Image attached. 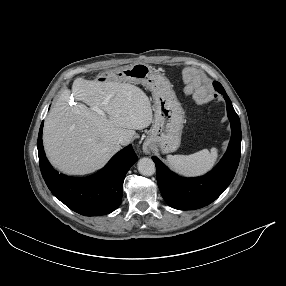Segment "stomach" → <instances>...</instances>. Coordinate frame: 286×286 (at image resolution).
<instances>
[{"label": "stomach", "mask_w": 286, "mask_h": 286, "mask_svg": "<svg viewBox=\"0 0 286 286\" xmlns=\"http://www.w3.org/2000/svg\"><path fill=\"white\" fill-rule=\"evenodd\" d=\"M111 81L142 84L152 92L154 120L144 146L174 152L181 143L184 111L170 81L152 66L138 62L108 72Z\"/></svg>", "instance_id": "1"}]
</instances>
